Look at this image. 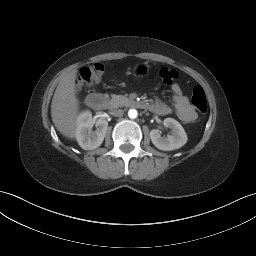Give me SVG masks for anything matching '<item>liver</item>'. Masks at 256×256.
Here are the masks:
<instances>
[{"label": "liver", "mask_w": 256, "mask_h": 256, "mask_svg": "<svg viewBox=\"0 0 256 256\" xmlns=\"http://www.w3.org/2000/svg\"><path fill=\"white\" fill-rule=\"evenodd\" d=\"M77 70L64 75L53 95L51 117L56 129L65 137H76L79 100L76 96Z\"/></svg>", "instance_id": "6515ba94"}]
</instances>
